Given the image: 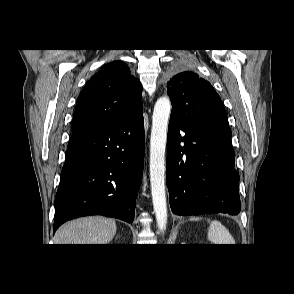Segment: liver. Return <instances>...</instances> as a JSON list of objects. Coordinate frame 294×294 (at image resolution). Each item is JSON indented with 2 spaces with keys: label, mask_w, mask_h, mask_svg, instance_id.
I'll use <instances>...</instances> for the list:
<instances>
[{
  "label": "liver",
  "mask_w": 294,
  "mask_h": 294,
  "mask_svg": "<svg viewBox=\"0 0 294 294\" xmlns=\"http://www.w3.org/2000/svg\"><path fill=\"white\" fill-rule=\"evenodd\" d=\"M117 230L113 219L90 216L62 225L55 235L56 244H108Z\"/></svg>",
  "instance_id": "liver-1"
}]
</instances>
